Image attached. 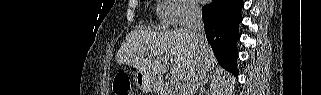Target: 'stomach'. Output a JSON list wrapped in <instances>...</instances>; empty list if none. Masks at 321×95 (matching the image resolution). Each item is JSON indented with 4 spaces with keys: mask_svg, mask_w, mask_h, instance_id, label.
<instances>
[{
    "mask_svg": "<svg viewBox=\"0 0 321 95\" xmlns=\"http://www.w3.org/2000/svg\"><path fill=\"white\" fill-rule=\"evenodd\" d=\"M135 82L137 87L142 91L152 92L155 89V85L152 78L142 71H138L136 73Z\"/></svg>",
    "mask_w": 321,
    "mask_h": 95,
    "instance_id": "1",
    "label": "stomach"
}]
</instances>
